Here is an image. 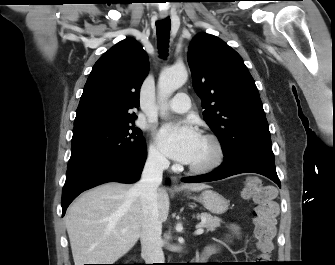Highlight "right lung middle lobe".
<instances>
[{"instance_id": "dd1d6c3e", "label": "right lung middle lobe", "mask_w": 335, "mask_h": 265, "mask_svg": "<svg viewBox=\"0 0 335 265\" xmlns=\"http://www.w3.org/2000/svg\"><path fill=\"white\" fill-rule=\"evenodd\" d=\"M145 149L142 131L135 127L134 120L83 125L73 129L68 164L94 157L130 158Z\"/></svg>"}]
</instances>
